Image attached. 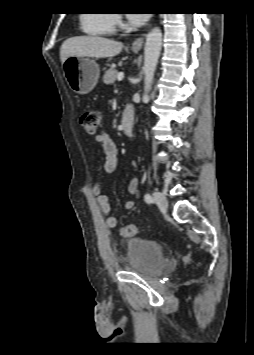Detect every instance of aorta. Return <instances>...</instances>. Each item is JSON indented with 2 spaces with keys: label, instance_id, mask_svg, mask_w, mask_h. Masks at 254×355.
<instances>
[{
  "label": "aorta",
  "instance_id": "aorta-1",
  "mask_svg": "<svg viewBox=\"0 0 254 355\" xmlns=\"http://www.w3.org/2000/svg\"><path fill=\"white\" fill-rule=\"evenodd\" d=\"M161 45L162 32L159 27H155L148 33L144 47V100L148 99V93L153 82L154 73L161 52Z\"/></svg>",
  "mask_w": 254,
  "mask_h": 355
}]
</instances>
